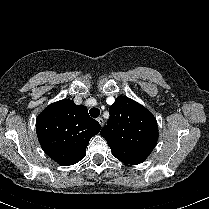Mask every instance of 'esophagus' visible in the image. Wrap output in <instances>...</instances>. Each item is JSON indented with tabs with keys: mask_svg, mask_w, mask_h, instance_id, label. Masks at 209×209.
Returning a JSON list of instances; mask_svg holds the SVG:
<instances>
[{
	"mask_svg": "<svg viewBox=\"0 0 209 209\" xmlns=\"http://www.w3.org/2000/svg\"><path fill=\"white\" fill-rule=\"evenodd\" d=\"M97 121L99 122L100 126L103 127L104 120L102 118H98Z\"/></svg>",
	"mask_w": 209,
	"mask_h": 209,
	"instance_id": "obj_1",
	"label": "esophagus"
}]
</instances>
